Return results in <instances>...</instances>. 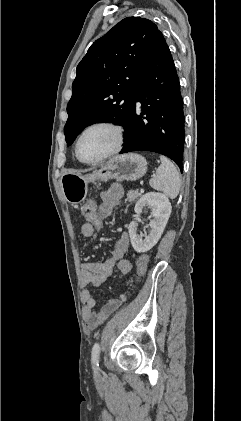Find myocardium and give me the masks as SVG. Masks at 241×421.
I'll return each instance as SVG.
<instances>
[{
  "label": "myocardium",
  "instance_id": "f54148a6",
  "mask_svg": "<svg viewBox=\"0 0 241 421\" xmlns=\"http://www.w3.org/2000/svg\"><path fill=\"white\" fill-rule=\"evenodd\" d=\"M95 128H108L110 129L114 135H115V143L114 146L104 155H102L101 157H99L96 160H92V161H87L84 160L83 158H81L80 153H79V145L81 142V139L83 138V136L90 130L95 129ZM124 140H125V132H124V128L112 121H98L95 123H92L90 125H88L86 128L83 129V131L79 134L76 143H75V154L77 159L87 165H97L100 164L102 162H104L105 160H107L108 158L114 156L115 154H117L118 152H120V150L123 147L124 144Z\"/></svg>",
  "mask_w": 241,
  "mask_h": 421
}]
</instances>
